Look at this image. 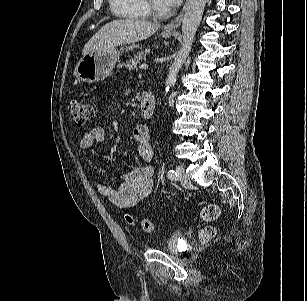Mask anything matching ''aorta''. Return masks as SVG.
I'll use <instances>...</instances> for the list:
<instances>
[{"instance_id":"762f6f07","label":"aorta","mask_w":307,"mask_h":301,"mask_svg":"<svg viewBox=\"0 0 307 301\" xmlns=\"http://www.w3.org/2000/svg\"><path fill=\"white\" fill-rule=\"evenodd\" d=\"M206 2L207 0H189L182 20L181 48L176 54L173 64L169 68L165 81V96L169 92L170 87L175 84L178 72L191 51L193 40L200 25Z\"/></svg>"}]
</instances>
